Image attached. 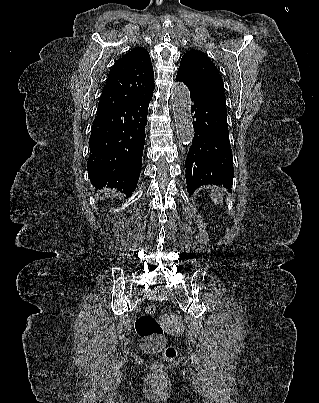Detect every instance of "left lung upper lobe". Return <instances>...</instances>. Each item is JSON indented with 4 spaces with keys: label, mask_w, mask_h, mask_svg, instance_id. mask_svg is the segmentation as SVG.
<instances>
[{
    "label": "left lung upper lobe",
    "mask_w": 319,
    "mask_h": 403,
    "mask_svg": "<svg viewBox=\"0 0 319 403\" xmlns=\"http://www.w3.org/2000/svg\"><path fill=\"white\" fill-rule=\"evenodd\" d=\"M178 72L201 87L224 92L223 80L217 67L207 55L198 50L192 49L183 55Z\"/></svg>",
    "instance_id": "1"
}]
</instances>
